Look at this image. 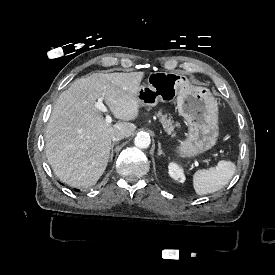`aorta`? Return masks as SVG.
Wrapping results in <instances>:
<instances>
[{
	"label": "aorta",
	"mask_w": 275,
	"mask_h": 275,
	"mask_svg": "<svg viewBox=\"0 0 275 275\" xmlns=\"http://www.w3.org/2000/svg\"><path fill=\"white\" fill-rule=\"evenodd\" d=\"M134 144L140 149H147L151 144V140L147 134H139L134 138Z\"/></svg>",
	"instance_id": "aorta-1"
}]
</instances>
